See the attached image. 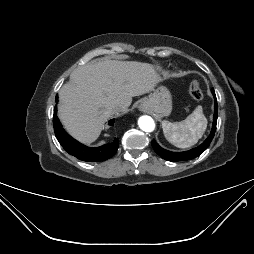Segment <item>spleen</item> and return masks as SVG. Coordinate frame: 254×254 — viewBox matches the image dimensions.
Instances as JSON below:
<instances>
[{"label":"spleen","mask_w":254,"mask_h":254,"mask_svg":"<svg viewBox=\"0 0 254 254\" xmlns=\"http://www.w3.org/2000/svg\"><path fill=\"white\" fill-rule=\"evenodd\" d=\"M162 128L165 138L178 148H189L202 138L207 119L201 106H197L188 117L181 122L171 123L164 120Z\"/></svg>","instance_id":"spleen-1"}]
</instances>
